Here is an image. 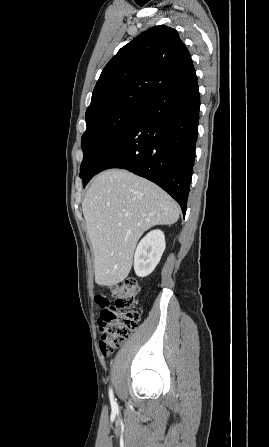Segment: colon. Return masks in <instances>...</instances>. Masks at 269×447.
I'll list each match as a JSON object with an SVG mask.
<instances>
[{"instance_id":"colon-1","label":"colon","mask_w":269,"mask_h":447,"mask_svg":"<svg viewBox=\"0 0 269 447\" xmlns=\"http://www.w3.org/2000/svg\"><path fill=\"white\" fill-rule=\"evenodd\" d=\"M139 292L138 281L128 277L111 287L113 303L105 297H95V303L102 307L97 318L100 331L99 348L102 354H110L138 328L141 315L135 309V297Z\"/></svg>"}]
</instances>
